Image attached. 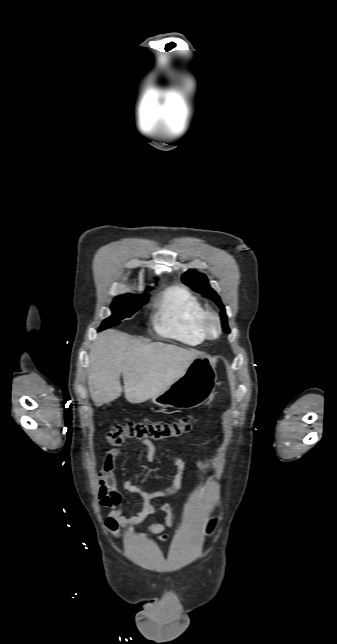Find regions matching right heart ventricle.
<instances>
[{
	"mask_svg": "<svg viewBox=\"0 0 337 644\" xmlns=\"http://www.w3.org/2000/svg\"><path fill=\"white\" fill-rule=\"evenodd\" d=\"M204 313L198 297L186 286L175 284L161 294L154 326L162 336L199 345L206 339L201 329Z\"/></svg>",
	"mask_w": 337,
	"mask_h": 644,
	"instance_id": "1",
	"label": "right heart ventricle"
}]
</instances>
